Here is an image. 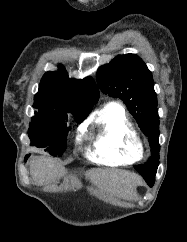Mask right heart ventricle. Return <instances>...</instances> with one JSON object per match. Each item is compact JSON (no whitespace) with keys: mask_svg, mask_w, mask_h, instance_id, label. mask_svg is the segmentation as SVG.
Here are the masks:
<instances>
[{"mask_svg":"<svg viewBox=\"0 0 187 242\" xmlns=\"http://www.w3.org/2000/svg\"><path fill=\"white\" fill-rule=\"evenodd\" d=\"M94 133L88 148L90 160L108 166L129 165L142 158L139 137L124 108L116 103L102 107L92 119Z\"/></svg>","mask_w":187,"mask_h":242,"instance_id":"obj_1","label":"right heart ventricle"}]
</instances>
